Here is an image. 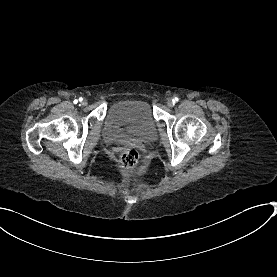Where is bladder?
Wrapping results in <instances>:
<instances>
[{
  "label": "bladder",
  "instance_id": "obj_1",
  "mask_svg": "<svg viewBox=\"0 0 277 277\" xmlns=\"http://www.w3.org/2000/svg\"><path fill=\"white\" fill-rule=\"evenodd\" d=\"M103 122L119 142L147 143L157 131L150 103L140 98L123 97L114 100L106 110ZM125 125L129 126L123 130Z\"/></svg>",
  "mask_w": 277,
  "mask_h": 277
}]
</instances>
